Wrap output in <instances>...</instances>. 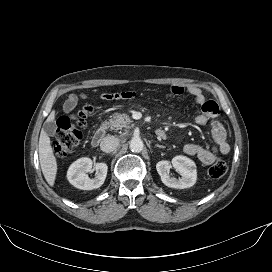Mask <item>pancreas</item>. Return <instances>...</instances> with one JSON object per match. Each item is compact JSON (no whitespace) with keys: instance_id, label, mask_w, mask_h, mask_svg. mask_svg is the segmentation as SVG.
Returning a JSON list of instances; mask_svg holds the SVG:
<instances>
[{"instance_id":"1","label":"pancreas","mask_w":272,"mask_h":272,"mask_svg":"<svg viewBox=\"0 0 272 272\" xmlns=\"http://www.w3.org/2000/svg\"><path fill=\"white\" fill-rule=\"evenodd\" d=\"M132 120L127 114L115 113L110 119L109 126L112 130L130 129Z\"/></svg>"}]
</instances>
